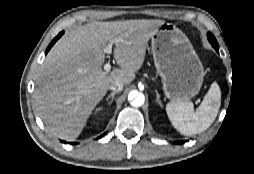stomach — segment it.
Masks as SVG:
<instances>
[{"label": "stomach", "mask_w": 254, "mask_h": 174, "mask_svg": "<svg viewBox=\"0 0 254 174\" xmlns=\"http://www.w3.org/2000/svg\"><path fill=\"white\" fill-rule=\"evenodd\" d=\"M151 46L165 95L172 102L195 97L205 73L186 35L174 24L164 22L152 35Z\"/></svg>", "instance_id": "1"}]
</instances>
